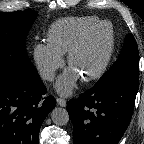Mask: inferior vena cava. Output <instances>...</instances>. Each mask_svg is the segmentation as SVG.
<instances>
[{"label":"inferior vena cava","mask_w":144,"mask_h":144,"mask_svg":"<svg viewBox=\"0 0 144 144\" xmlns=\"http://www.w3.org/2000/svg\"><path fill=\"white\" fill-rule=\"evenodd\" d=\"M42 77L45 80L52 81V80H54L55 72L52 71V70L46 71V72L43 73Z\"/></svg>","instance_id":"obj_1"}]
</instances>
